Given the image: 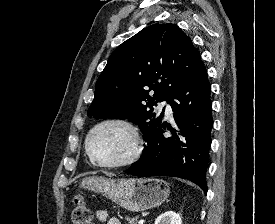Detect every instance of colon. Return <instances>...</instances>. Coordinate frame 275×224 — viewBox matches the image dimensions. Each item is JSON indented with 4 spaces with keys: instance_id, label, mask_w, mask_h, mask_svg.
Masks as SVG:
<instances>
[{
    "instance_id": "5ec220e1",
    "label": "colon",
    "mask_w": 275,
    "mask_h": 224,
    "mask_svg": "<svg viewBox=\"0 0 275 224\" xmlns=\"http://www.w3.org/2000/svg\"><path fill=\"white\" fill-rule=\"evenodd\" d=\"M74 204L71 213L72 224H92V213L82 196H75Z\"/></svg>"
}]
</instances>
